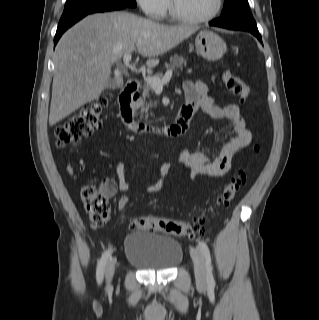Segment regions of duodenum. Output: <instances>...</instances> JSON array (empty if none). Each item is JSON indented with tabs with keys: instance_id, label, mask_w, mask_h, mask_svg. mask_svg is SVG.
Returning a JSON list of instances; mask_svg holds the SVG:
<instances>
[{
	"instance_id": "duodenum-1",
	"label": "duodenum",
	"mask_w": 319,
	"mask_h": 320,
	"mask_svg": "<svg viewBox=\"0 0 319 320\" xmlns=\"http://www.w3.org/2000/svg\"><path fill=\"white\" fill-rule=\"evenodd\" d=\"M137 89L138 82L136 80H129L125 84L119 95L120 116L137 131L149 130V127L143 124L133 123L132 121L133 102L137 97ZM194 114V110L182 108L179 111L176 120L171 124L159 128L158 133L166 137H173L183 133L189 127Z\"/></svg>"
}]
</instances>
